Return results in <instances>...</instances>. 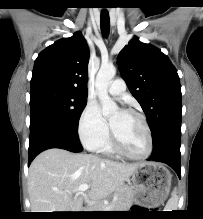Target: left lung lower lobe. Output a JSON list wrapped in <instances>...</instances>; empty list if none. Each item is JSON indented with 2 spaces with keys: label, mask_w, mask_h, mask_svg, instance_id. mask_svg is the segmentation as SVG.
I'll list each match as a JSON object with an SVG mask.
<instances>
[{
  "label": "left lung lower lobe",
  "mask_w": 203,
  "mask_h": 219,
  "mask_svg": "<svg viewBox=\"0 0 203 219\" xmlns=\"http://www.w3.org/2000/svg\"><path fill=\"white\" fill-rule=\"evenodd\" d=\"M180 139L181 126L171 128L153 145L152 155L148 159L168 164L175 170L179 178H181Z\"/></svg>",
  "instance_id": "obj_1"
}]
</instances>
